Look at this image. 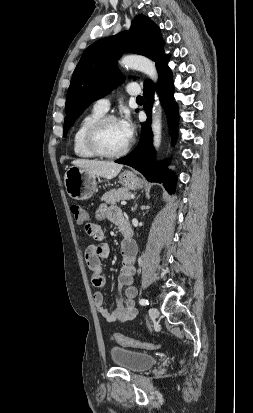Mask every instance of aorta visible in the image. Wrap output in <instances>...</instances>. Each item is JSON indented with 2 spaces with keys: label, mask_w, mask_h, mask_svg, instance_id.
I'll list each match as a JSON object with an SVG mask.
<instances>
[{
  "label": "aorta",
  "mask_w": 253,
  "mask_h": 413,
  "mask_svg": "<svg viewBox=\"0 0 253 413\" xmlns=\"http://www.w3.org/2000/svg\"><path fill=\"white\" fill-rule=\"evenodd\" d=\"M121 64L127 68L137 69L146 74L154 82L158 80V73L155 63L150 59L140 55H127L121 59ZM157 100V97H156ZM153 145L158 150L161 144V107L157 101L152 110V124Z\"/></svg>",
  "instance_id": "aorta-1"
}]
</instances>
